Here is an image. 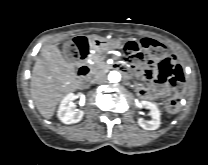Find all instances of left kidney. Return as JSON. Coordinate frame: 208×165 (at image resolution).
<instances>
[{"label":"left kidney","mask_w":208,"mask_h":165,"mask_svg":"<svg viewBox=\"0 0 208 165\" xmlns=\"http://www.w3.org/2000/svg\"><path fill=\"white\" fill-rule=\"evenodd\" d=\"M139 107H144L150 110L151 120H144L143 118L138 119V124L145 130H156L159 128L160 122V110L156 104L149 101H142L138 103Z\"/></svg>","instance_id":"1"}]
</instances>
